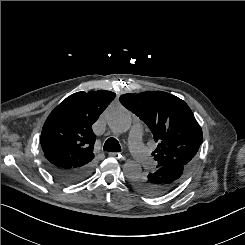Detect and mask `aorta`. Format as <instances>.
<instances>
[{
  "label": "aorta",
  "mask_w": 245,
  "mask_h": 245,
  "mask_svg": "<svg viewBox=\"0 0 245 245\" xmlns=\"http://www.w3.org/2000/svg\"><path fill=\"white\" fill-rule=\"evenodd\" d=\"M107 125L112 132L122 134L131 128L132 118L129 111L123 107H115L108 111ZM123 172L127 179L133 176L142 175V167L139 163L128 160L123 166Z\"/></svg>",
  "instance_id": "obj_1"
}]
</instances>
